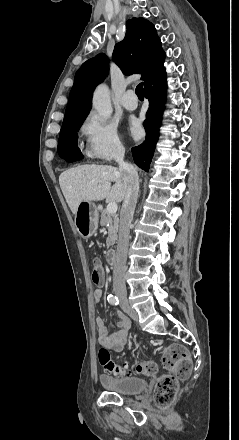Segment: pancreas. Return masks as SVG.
I'll use <instances>...</instances> for the list:
<instances>
[{"mask_svg": "<svg viewBox=\"0 0 239 440\" xmlns=\"http://www.w3.org/2000/svg\"><path fill=\"white\" fill-rule=\"evenodd\" d=\"M100 218L101 226H106L108 230L106 246L107 248H110V246H114L118 238L119 218L117 214H109L108 210H102Z\"/></svg>", "mask_w": 239, "mask_h": 440, "instance_id": "obj_1", "label": "pancreas"}]
</instances>
